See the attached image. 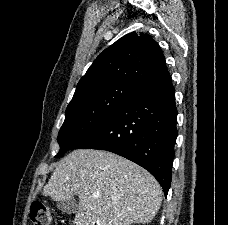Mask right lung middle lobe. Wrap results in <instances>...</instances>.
I'll return each instance as SVG.
<instances>
[{"label":"right lung middle lobe","mask_w":228,"mask_h":225,"mask_svg":"<svg viewBox=\"0 0 228 225\" xmlns=\"http://www.w3.org/2000/svg\"><path fill=\"white\" fill-rule=\"evenodd\" d=\"M138 89L127 83L111 82L81 92L67 106L65 121L58 134L60 151L57 157L112 115Z\"/></svg>","instance_id":"right-lung-middle-lobe-1"}]
</instances>
